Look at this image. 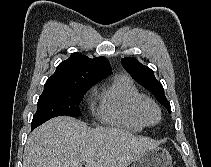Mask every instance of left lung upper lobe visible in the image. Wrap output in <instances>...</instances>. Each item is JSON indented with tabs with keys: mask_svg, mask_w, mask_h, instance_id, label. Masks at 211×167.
Wrapping results in <instances>:
<instances>
[{
	"mask_svg": "<svg viewBox=\"0 0 211 167\" xmlns=\"http://www.w3.org/2000/svg\"><path fill=\"white\" fill-rule=\"evenodd\" d=\"M122 64L129 74L143 87L149 90L157 100L171 113L169 101L166 99L162 84L155 78L154 72L139 63L136 58L122 59Z\"/></svg>",
	"mask_w": 211,
	"mask_h": 167,
	"instance_id": "5c2ea615",
	"label": "left lung upper lobe"
}]
</instances>
